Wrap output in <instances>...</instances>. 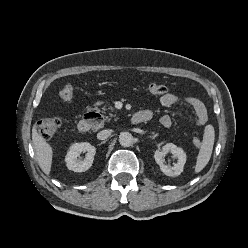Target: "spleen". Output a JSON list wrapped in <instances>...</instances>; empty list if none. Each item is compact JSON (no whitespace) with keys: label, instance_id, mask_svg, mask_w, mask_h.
<instances>
[{"label":"spleen","instance_id":"3e777b00","mask_svg":"<svg viewBox=\"0 0 248 248\" xmlns=\"http://www.w3.org/2000/svg\"><path fill=\"white\" fill-rule=\"evenodd\" d=\"M215 140V133L212 126H207L203 136V143L201 145L197 161L195 165V173L202 171L208 164Z\"/></svg>","mask_w":248,"mask_h":248}]
</instances>
